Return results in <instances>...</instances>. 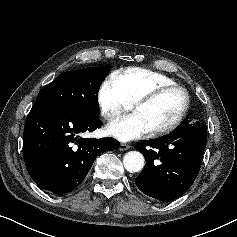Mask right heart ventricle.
<instances>
[{
  "label": "right heart ventricle",
  "mask_w": 237,
  "mask_h": 237,
  "mask_svg": "<svg viewBox=\"0 0 237 237\" xmlns=\"http://www.w3.org/2000/svg\"><path fill=\"white\" fill-rule=\"evenodd\" d=\"M112 77L130 104L158 86L176 84L167 75L144 68L124 69L115 72Z\"/></svg>",
  "instance_id": "obj_1"
}]
</instances>
